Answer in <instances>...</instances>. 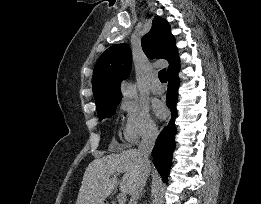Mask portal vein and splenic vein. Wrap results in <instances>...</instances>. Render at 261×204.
<instances>
[{"mask_svg":"<svg viewBox=\"0 0 261 204\" xmlns=\"http://www.w3.org/2000/svg\"><path fill=\"white\" fill-rule=\"evenodd\" d=\"M117 199H118V203L119 204H125V202H126V194L123 193V192L118 194Z\"/></svg>","mask_w":261,"mask_h":204,"instance_id":"1","label":"portal vein and splenic vein"}]
</instances>
